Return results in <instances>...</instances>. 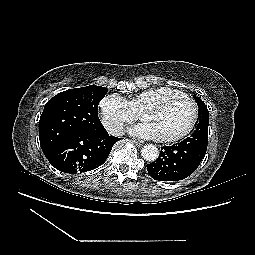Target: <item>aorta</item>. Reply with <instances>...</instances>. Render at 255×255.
Masks as SVG:
<instances>
[{
    "mask_svg": "<svg viewBox=\"0 0 255 255\" xmlns=\"http://www.w3.org/2000/svg\"><path fill=\"white\" fill-rule=\"evenodd\" d=\"M141 155L145 160H147L149 162H153L158 158L159 150L156 146H154L152 144H148V145L143 146V148L141 150Z\"/></svg>",
    "mask_w": 255,
    "mask_h": 255,
    "instance_id": "762f6f07",
    "label": "aorta"
}]
</instances>
